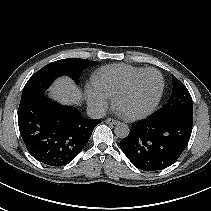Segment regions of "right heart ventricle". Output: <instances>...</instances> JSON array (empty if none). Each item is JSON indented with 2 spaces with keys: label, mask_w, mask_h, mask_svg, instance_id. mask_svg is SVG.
<instances>
[{
  "label": "right heart ventricle",
  "mask_w": 211,
  "mask_h": 211,
  "mask_svg": "<svg viewBox=\"0 0 211 211\" xmlns=\"http://www.w3.org/2000/svg\"><path fill=\"white\" fill-rule=\"evenodd\" d=\"M145 70L126 64H113L99 69L93 76V85L102 89L110 97L120 91L134 76Z\"/></svg>",
  "instance_id": "1"
}]
</instances>
